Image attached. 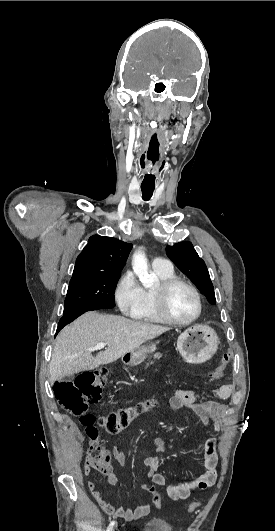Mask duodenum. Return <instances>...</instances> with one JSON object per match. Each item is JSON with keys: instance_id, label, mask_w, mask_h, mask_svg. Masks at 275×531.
Returning <instances> with one entry per match:
<instances>
[{"instance_id": "obj_1", "label": "duodenum", "mask_w": 275, "mask_h": 531, "mask_svg": "<svg viewBox=\"0 0 275 531\" xmlns=\"http://www.w3.org/2000/svg\"><path fill=\"white\" fill-rule=\"evenodd\" d=\"M122 360H123L124 362H128V361H129V357L124 356V357L122 358Z\"/></svg>"}]
</instances>
